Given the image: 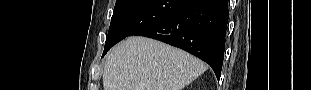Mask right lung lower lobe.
Instances as JSON below:
<instances>
[{
  "mask_svg": "<svg viewBox=\"0 0 311 90\" xmlns=\"http://www.w3.org/2000/svg\"><path fill=\"white\" fill-rule=\"evenodd\" d=\"M228 23V0H185L172 13L138 32L179 47L207 62L220 79L225 34Z\"/></svg>",
  "mask_w": 311,
  "mask_h": 90,
  "instance_id": "1",
  "label": "right lung lower lobe"
}]
</instances>
